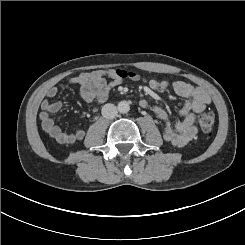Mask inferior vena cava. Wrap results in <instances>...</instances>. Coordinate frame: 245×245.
<instances>
[{"label":"inferior vena cava","instance_id":"1","mask_svg":"<svg viewBox=\"0 0 245 245\" xmlns=\"http://www.w3.org/2000/svg\"><path fill=\"white\" fill-rule=\"evenodd\" d=\"M102 116L106 119H113L117 116L118 110L114 104H105L101 110Z\"/></svg>","mask_w":245,"mask_h":245}]
</instances>
